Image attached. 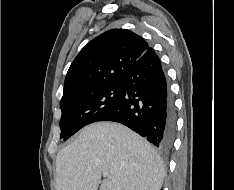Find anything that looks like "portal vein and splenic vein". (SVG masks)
I'll return each mask as SVG.
<instances>
[{
	"instance_id": "1",
	"label": "portal vein and splenic vein",
	"mask_w": 234,
	"mask_h": 190,
	"mask_svg": "<svg viewBox=\"0 0 234 190\" xmlns=\"http://www.w3.org/2000/svg\"><path fill=\"white\" fill-rule=\"evenodd\" d=\"M103 176H104V177H110L108 171H104V172H103Z\"/></svg>"
}]
</instances>
